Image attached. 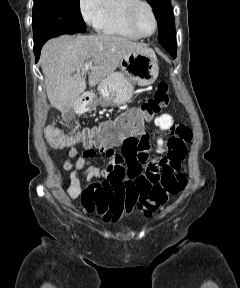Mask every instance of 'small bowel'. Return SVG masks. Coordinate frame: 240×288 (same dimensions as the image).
Listing matches in <instances>:
<instances>
[{
	"label": "small bowel",
	"instance_id": "1",
	"mask_svg": "<svg viewBox=\"0 0 240 288\" xmlns=\"http://www.w3.org/2000/svg\"><path fill=\"white\" fill-rule=\"evenodd\" d=\"M154 123L160 132H170L171 135L164 141L159 156L153 160H150L149 134L143 131L117 141L84 145L83 150L71 146L63 163L64 170L70 171L69 197L75 199L80 196L86 211L102 215L106 222L115 221L123 212H131L139 196L148 193L164 174L180 170L186 144L193 137L191 129L177 124L167 113L158 115ZM118 146H121L120 153L115 150ZM95 148L109 158L105 168H98L88 161L95 155ZM79 154L81 156L73 163ZM82 169H85V181L104 180L82 189L78 178Z\"/></svg>",
	"mask_w": 240,
	"mask_h": 288
}]
</instances>
